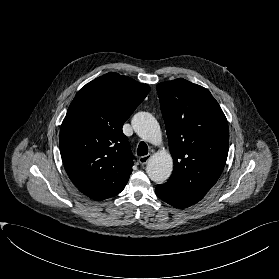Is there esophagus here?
<instances>
[{"label":"esophagus","instance_id":"esophagus-1","mask_svg":"<svg viewBox=\"0 0 279 279\" xmlns=\"http://www.w3.org/2000/svg\"><path fill=\"white\" fill-rule=\"evenodd\" d=\"M151 158V155H145V156H141L139 157L138 161L141 165H145Z\"/></svg>","mask_w":279,"mask_h":279}]
</instances>
